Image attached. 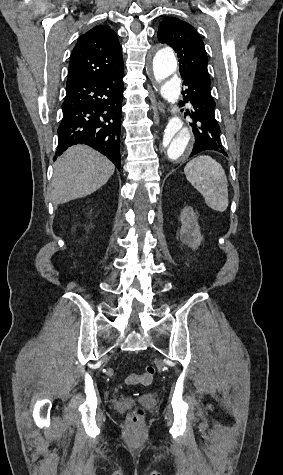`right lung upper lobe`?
<instances>
[{
	"instance_id": "obj_1",
	"label": "right lung upper lobe",
	"mask_w": 283,
	"mask_h": 475,
	"mask_svg": "<svg viewBox=\"0 0 283 475\" xmlns=\"http://www.w3.org/2000/svg\"><path fill=\"white\" fill-rule=\"evenodd\" d=\"M122 50L116 33L98 25L82 35L69 63L67 84L79 80H99L123 72Z\"/></svg>"
}]
</instances>
